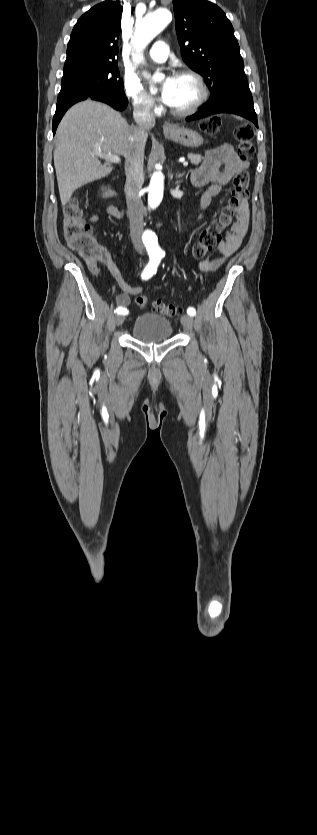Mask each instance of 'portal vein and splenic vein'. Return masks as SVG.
Listing matches in <instances>:
<instances>
[{
    "label": "portal vein and splenic vein",
    "mask_w": 317,
    "mask_h": 835,
    "mask_svg": "<svg viewBox=\"0 0 317 835\" xmlns=\"http://www.w3.org/2000/svg\"><path fill=\"white\" fill-rule=\"evenodd\" d=\"M98 154H101V153H100V152H98ZM104 157H105L106 159L110 160L111 162H114V163H120V162H121L120 157H119L118 155H115V154H111V153L104 154ZM183 166H184V167H187V166H188V162H187V161H184V162H183Z\"/></svg>",
    "instance_id": "18ae733b"
}]
</instances>
